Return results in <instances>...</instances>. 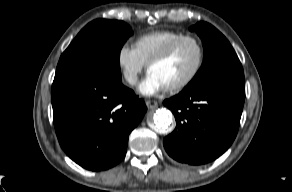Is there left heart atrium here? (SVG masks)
Instances as JSON below:
<instances>
[{"mask_svg": "<svg viewBox=\"0 0 292 192\" xmlns=\"http://www.w3.org/2000/svg\"><path fill=\"white\" fill-rule=\"evenodd\" d=\"M166 89L163 82L153 73L148 72L144 80L139 85V91L146 95H155Z\"/></svg>", "mask_w": 292, "mask_h": 192, "instance_id": "39dd6f15", "label": "left heart atrium"}]
</instances>
